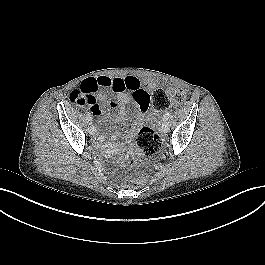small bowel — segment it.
Wrapping results in <instances>:
<instances>
[{
  "label": "small bowel",
  "instance_id": "obj_1",
  "mask_svg": "<svg viewBox=\"0 0 265 265\" xmlns=\"http://www.w3.org/2000/svg\"><path fill=\"white\" fill-rule=\"evenodd\" d=\"M154 87V82L142 83L135 76L114 78L100 76L87 80L75 88L72 94H77L78 100L81 102L80 106H88L95 116L102 114L100 102H109L112 107H121L123 104L133 101L135 108L139 111L133 119V124L138 126L143 122L145 113L151 106L152 100L149 91ZM110 92L115 93L116 97L111 99ZM124 114L125 112L122 110V119ZM96 140L102 142L103 138L97 134Z\"/></svg>",
  "mask_w": 265,
  "mask_h": 265
}]
</instances>
